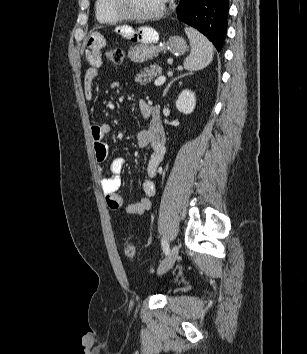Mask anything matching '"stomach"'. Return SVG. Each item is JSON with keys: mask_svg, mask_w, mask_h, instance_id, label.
Wrapping results in <instances>:
<instances>
[{"mask_svg": "<svg viewBox=\"0 0 307 354\" xmlns=\"http://www.w3.org/2000/svg\"><path fill=\"white\" fill-rule=\"evenodd\" d=\"M128 39L134 43V46L128 52V57L136 63H143L152 59L161 51L182 55L187 50L186 41L180 36H170L161 46H157L158 33L147 26L138 28L137 36Z\"/></svg>", "mask_w": 307, "mask_h": 354, "instance_id": "obj_1", "label": "stomach"}]
</instances>
